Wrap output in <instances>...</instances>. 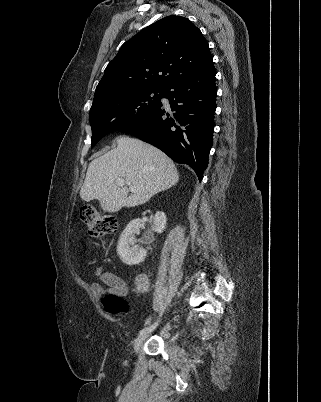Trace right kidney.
Returning <instances> with one entry per match:
<instances>
[{"label": "right kidney", "instance_id": "ca27d5eb", "mask_svg": "<svg viewBox=\"0 0 321 402\" xmlns=\"http://www.w3.org/2000/svg\"><path fill=\"white\" fill-rule=\"evenodd\" d=\"M166 221L164 212H157L153 219V230L157 233H162L166 227ZM141 226V219L130 221L118 241L117 253L126 265L139 264L147 255L146 249L136 245L135 234L138 233Z\"/></svg>", "mask_w": 321, "mask_h": 402}]
</instances>
